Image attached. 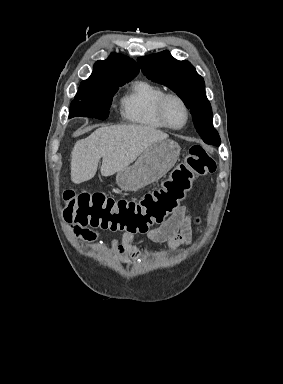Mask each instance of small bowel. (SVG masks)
Returning <instances> with one entry per match:
<instances>
[{
    "label": "small bowel",
    "instance_id": "small-bowel-1",
    "mask_svg": "<svg viewBox=\"0 0 283 384\" xmlns=\"http://www.w3.org/2000/svg\"><path fill=\"white\" fill-rule=\"evenodd\" d=\"M72 231L85 241H94L97 238L94 231L84 227L74 225ZM146 235L152 242L167 243L170 251L189 243L191 222L188 210L185 207H179L159 227L147 231ZM133 239L134 234L125 232L120 241L117 239L112 241L113 251L118 258L121 260H126L127 257L135 260L143 258L139 248L133 245Z\"/></svg>",
    "mask_w": 283,
    "mask_h": 384
}]
</instances>
